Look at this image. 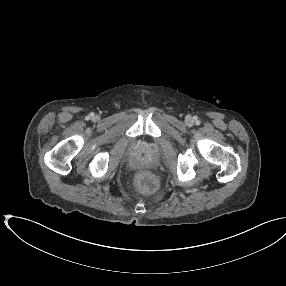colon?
Wrapping results in <instances>:
<instances>
[{
  "instance_id": "obj_1",
  "label": "colon",
  "mask_w": 286,
  "mask_h": 286,
  "mask_svg": "<svg viewBox=\"0 0 286 286\" xmlns=\"http://www.w3.org/2000/svg\"><path fill=\"white\" fill-rule=\"evenodd\" d=\"M136 182L138 187L144 192H152L156 187L155 181L147 173L139 174Z\"/></svg>"
}]
</instances>
